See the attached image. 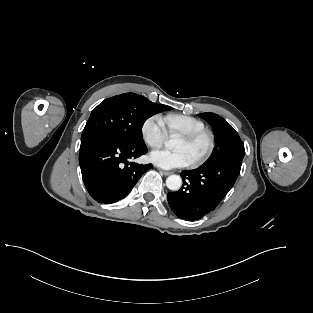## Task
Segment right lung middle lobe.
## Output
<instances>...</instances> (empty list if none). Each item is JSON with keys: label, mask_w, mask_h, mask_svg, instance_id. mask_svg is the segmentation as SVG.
I'll use <instances>...</instances> for the list:
<instances>
[{"label": "right lung middle lobe", "mask_w": 313, "mask_h": 313, "mask_svg": "<svg viewBox=\"0 0 313 313\" xmlns=\"http://www.w3.org/2000/svg\"><path fill=\"white\" fill-rule=\"evenodd\" d=\"M171 109L135 93L111 97L95 107L81 139L95 133H108L130 143H143L142 126L152 115Z\"/></svg>", "instance_id": "right-lung-middle-lobe-1"}]
</instances>
